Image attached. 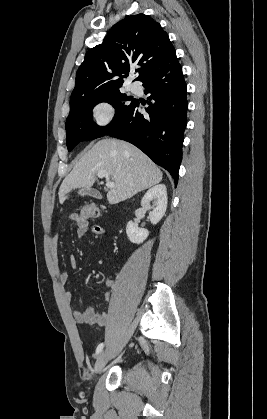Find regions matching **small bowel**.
<instances>
[{
  "instance_id": "1",
  "label": "small bowel",
  "mask_w": 267,
  "mask_h": 419,
  "mask_svg": "<svg viewBox=\"0 0 267 419\" xmlns=\"http://www.w3.org/2000/svg\"><path fill=\"white\" fill-rule=\"evenodd\" d=\"M69 218L71 221L75 222V224L77 225L76 235L78 238H84L87 235L101 236L105 233V230L102 226L91 225L88 221H81L79 219L78 214L76 213L71 214ZM59 239H60L59 235L54 236L52 239V251L54 254L56 266L58 264L57 253H58ZM70 265L73 268L76 267V259L74 257L70 259ZM58 277L61 284H66L68 282L69 275L67 272L59 273ZM104 284L106 287V291L104 292V299L106 301H110L112 299L115 282L112 279H106ZM65 296L68 300H72L73 294L72 292L67 291L65 293ZM73 318L79 324H89V325H95L97 327H103L108 323L109 314L107 312L98 313L95 311L93 307H89L85 309L84 311H74Z\"/></svg>"
}]
</instances>
